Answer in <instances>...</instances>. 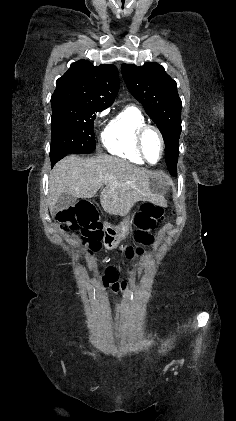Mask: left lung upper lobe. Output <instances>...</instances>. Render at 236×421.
Here are the masks:
<instances>
[{"label": "left lung upper lobe", "mask_w": 236, "mask_h": 421, "mask_svg": "<svg viewBox=\"0 0 236 421\" xmlns=\"http://www.w3.org/2000/svg\"><path fill=\"white\" fill-rule=\"evenodd\" d=\"M121 69L129 91L143 105L163 135L166 164L177 166L182 102L176 82L155 62L138 67L123 64Z\"/></svg>", "instance_id": "obj_1"}]
</instances>
